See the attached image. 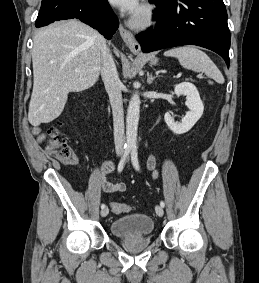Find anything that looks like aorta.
Returning <instances> with one entry per match:
<instances>
[{"label":"aorta","instance_id":"aorta-1","mask_svg":"<svg viewBox=\"0 0 259 283\" xmlns=\"http://www.w3.org/2000/svg\"><path fill=\"white\" fill-rule=\"evenodd\" d=\"M140 114V97L132 96L126 116V140L129 146H135L137 140V129Z\"/></svg>","mask_w":259,"mask_h":283}]
</instances>
